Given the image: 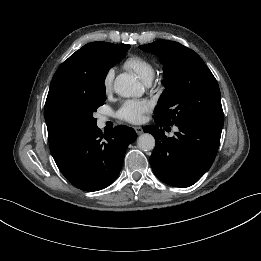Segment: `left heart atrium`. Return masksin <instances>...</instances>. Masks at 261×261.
I'll use <instances>...</instances> for the list:
<instances>
[{
    "instance_id": "left-heart-atrium-1",
    "label": "left heart atrium",
    "mask_w": 261,
    "mask_h": 261,
    "mask_svg": "<svg viewBox=\"0 0 261 261\" xmlns=\"http://www.w3.org/2000/svg\"><path fill=\"white\" fill-rule=\"evenodd\" d=\"M153 105L147 99H132L125 101L117 111V117L120 120L129 123H140L144 115L151 111Z\"/></svg>"
}]
</instances>
